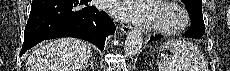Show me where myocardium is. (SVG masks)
Wrapping results in <instances>:
<instances>
[{"label": "myocardium", "instance_id": "1", "mask_svg": "<svg viewBox=\"0 0 230 71\" xmlns=\"http://www.w3.org/2000/svg\"><path fill=\"white\" fill-rule=\"evenodd\" d=\"M155 4L163 9L172 11L175 14L177 20L172 24L153 22L150 25V30L159 34L171 35L183 31L188 26L189 15L187 11L177 2L156 1Z\"/></svg>", "mask_w": 230, "mask_h": 71}]
</instances>
